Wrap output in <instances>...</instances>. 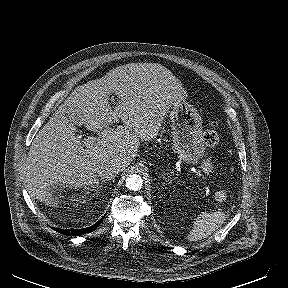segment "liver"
Returning <instances> with one entry per match:
<instances>
[{
	"instance_id": "liver-1",
	"label": "liver",
	"mask_w": 288,
	"mask_h": 288,
	"mask_svg": "<svg viewBox=\"0 0 288 288\" xmlns=\"http://www.w3.org/2000/svg\"><path fill=\"white\" fill-rule=\"evenodd\" d=\"M118 97L114 110L109 95ZM186 96L182 83L158 63H131L74 89L34 138L26 161L25 183L31 197L58 207L57 186L81 188L97 184L96 168L117 162L124 170L141 141L154 140L173 103ZM78 115L89 142L75 136L69 115ZM123 125L110 127L113 122ZM56 185V187H55Z\"/></svg>"
}]
</instances>
